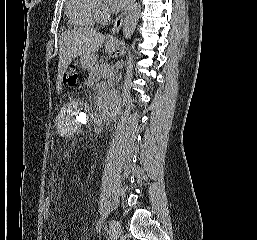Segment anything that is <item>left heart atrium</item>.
Segmentation results:
<instances>
[{
  "instance_id": "39dd6f15",
  "label": "left heart atrium",
  "mask_w": 257,
  "mask_h": 240,
  "mask_svg": "<svg viewBox=\"0 0 257 240\" xmlns=\"http://www.w3.org/2000/svg\"><path fill=\"white\" fill-rule=\"evenodd\" d=\"M130 0H109L110 5L114 9H122L127 6Z\"/></svg>"
}]
</instances>
